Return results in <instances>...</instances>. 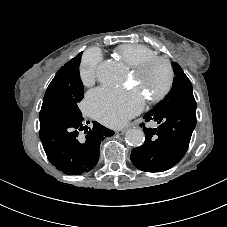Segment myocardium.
<instances>
[{
  "label": "myocardium",
  "instance_id": "obj_1",
  "mask_svg": "<svg viewBox=\"0 0 227 227\" xmlns=\"http://www.w3.org/2000/svg\"><path fill=\"white\" fill-rule=\"evenodd\" d=\"M155 64H161L165 68L167 78H166V83L163 86V88L158 93H156L154 96L150 97V99H149L150 102H158V101L162 100L170 92V90L173 86L174 70H173V67H172L170 61L164 57L154 56V57L148 58V59L140 62L139 64L135 65L134 67H132L133 75L136 78H139L150 67H152Z\"/></svg>",
  "mask_w": 227,
  "mask_h": 227
}]
</instances>
